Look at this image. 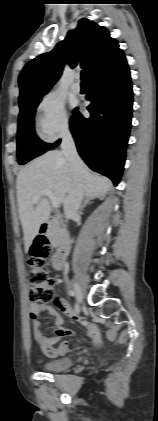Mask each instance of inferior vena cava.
<instances>
[{
    "label": "inferior vena cava",
    "mask_w": 158,
    "mask_h": 421,
    "mask_svg": "<svg viewBox=\"0 0 158 421\" xmlns=\"http://www.w3.org/2000/svg\"><path fill=\"white\" fill-rule=\"evenodd\" d=\"M61 149L69 163L73 178L72 188L64 199L65 216L67 219H72L77 215L83 199V162L77 153L75 142L69 128L63 130Z\"/></svg>",
    "instance_id": "1"
}]
</instances>
